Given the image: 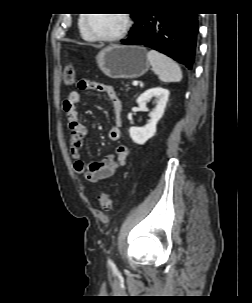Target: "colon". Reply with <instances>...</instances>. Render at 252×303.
<instances>
[{
  "label": "colon",
  "instance_id": "colon-1",
  "mask_svg": "<svg viewBox=\"0 0 252 303\" xmlns=\"http://www.w3.org/2000/svg\"><path fill=\"white\" fill-rule=\"evenodd\" d=\"M63 82L66 86L70 87L75 84V69L72 64H67L63 71ZM98 201L101 209L105 212L113 209V199L107 193H101L98 196Z\"/></svg>",
  "mask_w": 252,
  "mask_h": 303
}]
</instances>
